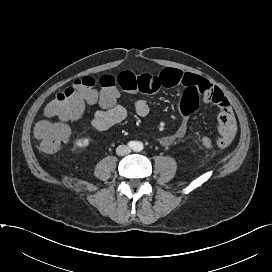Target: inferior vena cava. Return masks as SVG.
<instances>
[{"mask_svg":"<svg viewBox=\"0 0 272 272\" xmlns=\"http://www.w3.org/2000/svg\"><path fill=\"white\" fill-rule=\"evenodd\" d=\"M131 152L130 147L126 146V145H120L117 147L116 149V153L120 156H124L127 155Z\"/></svg>","mask_w":272,"mask_h":272,"instance_id":"obj_1","label":"inferior vena cava"}]
</instances>
